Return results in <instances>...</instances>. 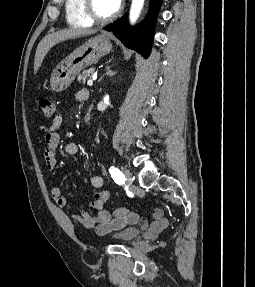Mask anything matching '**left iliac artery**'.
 <instances>
[{"mask_svg": "<svg viewBox=\"0 0 255 287\" xmlns=\"http://www.w3.org/2000/svg\"><path fill=\"white\" fill-rule=\"evenodd\" d=\"M109 172L116 183L123 184L125 182V176L118 168L111 167Z\"/></svg>", "mask_w": 255, "mask_h": 287, "instance_id": "1", "label": "left iliac artery"}]
</instances>
